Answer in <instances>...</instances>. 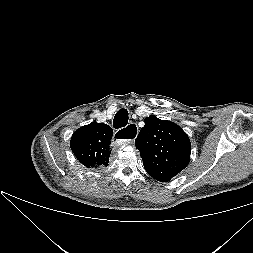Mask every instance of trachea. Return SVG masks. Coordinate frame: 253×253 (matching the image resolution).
Wrapping results in <instances>:
<instances>
[{"mask_svg":"<svg viewBox=\"0 0 253 253\" xmlns=\"http://www.w3.org/2000/svg\"><path fill=\"white\" fill-rule=\"evenodd\" d=\"M128 123V111L126 109H120L114 119L113 126L115 129L125 127Z\"/></svg>","mask_w":253,"mask_h":253,"instance_id":"3493384b","label":"trachea"}]
</instances>
